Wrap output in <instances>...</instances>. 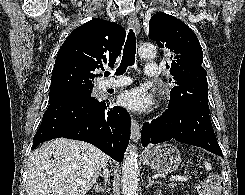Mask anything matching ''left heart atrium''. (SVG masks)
<instances>
[{"label": "left heart atrium", "instance_id": "obj_1", "mask_svg": "<svg viewBox=\"0 0 245 195\" xmlns=\"http://www.w3.org/2000/svg\"><path fill=\"white\" fill-rule=\"evenodd\" d=\"M119 104L134 112H145L152 106V98L143 88L137 87L122 92Z\"/></svg>", "mask_w": 245, "mask_h": 195}]
</instances>
